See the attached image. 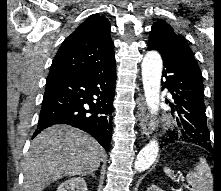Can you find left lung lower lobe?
Segmentation results:
<instances>
[{
  "instance_id": "obj_1",
  "label": "left lung lower lobe",
  "mask_w": 221,
  "mask_h": 191,
  "mask_svg": "<svg viewBox=\"0 0 221 191\" xmlns=\"http://www.w3.org/2000/svg\"><path fill=\"white\" fill-rule=\"evenodd\" d=\"M161 55L165 77L164 82L162 81L163 88H168L173 96L175 104H171V107H175L177 111L178 125V130L172 131L166 142L184 141L198 144L207 140L210 135L203 100L202 75L192 50L188 45L181 44L174 53ZM203 148L211 149L209 145Z\"/></svg>"
}]
</instances>
